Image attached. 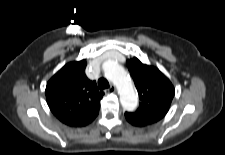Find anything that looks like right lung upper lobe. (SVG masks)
<instances>
[{
    "label": "right lung upper lobe",
    "mask_w": 225,
    "mask_h": 155,
    "mask_svg": "<svg viewBox=\"0 0 225 155\" xmlns=\"http://www.w3.org/2000/svg\"><path fill=\"white\" fill-rule=\"evenodd\" d=\"M86 60L62 67L47 83L45 94L51 112L64 124L81 127L91 123L99 113V92L95 81L84 70Z\"/></svg>",
    "instance_id": "obj_1"
}]
</instances>
